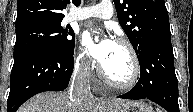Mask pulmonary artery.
Returning <instances> with one entry per match:
<instances>
[{
    "mask_svg": "<svg viewBox=\"0 0 193 112\" xmlns=\"http://www.w3.org/2000/svg\"><path fill=\"white\" fill-rule=\"evenodd\" d=\"M113 15V5L110 0H104L97 5L73 11L68 17V21L85 20L89 18L110 19Z\"/></svg>",
    "mask_w": 193,
    "mask_h": 112,
    "instance_id": "obj_1",
    "label": "pulmonary artery"
}]
</instances>
